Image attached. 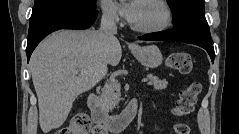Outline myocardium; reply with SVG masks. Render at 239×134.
I'll use <instances>...</instances> for the list:
<instances>
[{"instance_id":"obj_1","label":"myocardium","mask_w":239,"mask_h":134,"mask_svg":"<svg viewBox=\"0 0 239 134\" xmlns=\"http://www.w3.org/2000/svg\"><path fill=\"white\" fill-rule=\"evenodd\" d=\"M146 1H149L155 4L162 10L163 20L159 25L153 26V27H139V26H135L131 24L132 29L137 32L146 33V34H154V33H159L166 30L172 21V13L168 4L163 0H146Z\"/></svg>"}]
</instances>
